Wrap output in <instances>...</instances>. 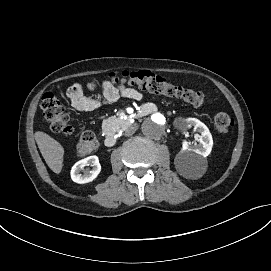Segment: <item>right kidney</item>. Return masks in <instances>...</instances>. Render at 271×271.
I'll list each match as a JSON object with an SVG mask.
<instances>
[{
  "label": "right kidney",
  "mask_w": 271,
  "mask_h": 271,
  "mask_svg": "<svg viewBox=\"0 0 271 271\" xmlns=\"http://www.w3.org/2000/svg\"><path fill=\"white\" fill-rule=\"evenodd\" d=\"M92 166V170L85 169ZM101 171V165L97 156H89L75 163L71 169V179L79 184L93 181ZM83 172V174H81Z\"/></svg>",
  "instance_id": "obj_1"
}]
</instances>
